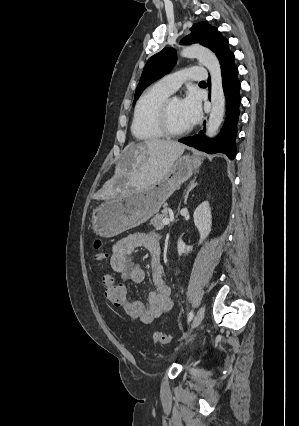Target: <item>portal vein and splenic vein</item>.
Masks as SVG:
<instances>
[{"instance_id":"18ae733b","label":"portal vein and splenic vein","mask_w":299,"mask_h":426,"mask_svg":"<svg viewBox=\"0 0 299 426\" xmlns=\"http://www.w3.org/2000/svg\"><path fill=\"white\" fill-rule=\"evenodd\" d=\"M170 223V219L169 218H164L163 219V224L164 225H168Z\"/></svg>"}]
</instances>
